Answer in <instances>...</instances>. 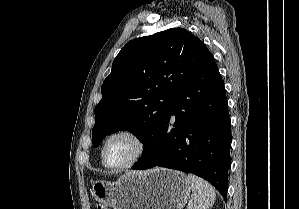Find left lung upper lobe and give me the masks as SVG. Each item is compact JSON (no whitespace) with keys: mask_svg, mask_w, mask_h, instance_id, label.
Segmentation results:
<instances>
[{"mask_svg":"<svg viewBox=\"0 0 299 209\" xmlns=\"http://www.w3.org/2000/svg\"><path fill=\"white\" fill-rule=\"evenodd\" d=\"M213 58L203 42L171 28L128 42L103 82L95 107L92 142L119 130L134 133L145 148L174 94Z\"/></svg>","mask_w":299,"mask_h":209,"instance_id":"left-lung-upper-lobe-1","label":"left lung upper lobe"}]
</instances>
